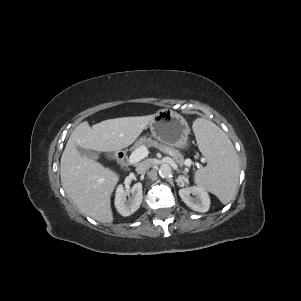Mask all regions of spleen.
Returning a JSON list of instances; mask_svg holds the SVG:
<instances>
[{
  "label": "spleen",
  "instance_id": "1",
  "mask_svg": "<svg viewBox=\"0 0 301 301\" xmlns=\"http://www.w3.org/2000/svg\"><path fill=\"white\" fill-rule=\"evenodd\" d=\"M198 147L207 166L195 172V183L216 195L223 204L234 197L239 180V160L227 135L213 122L198 118L193 123Z\"/></svg>",
  "mask_w": 301,
  "mask_h": 301
}]
</instances>
